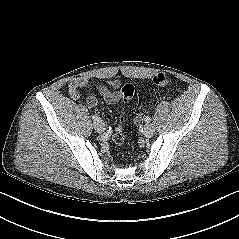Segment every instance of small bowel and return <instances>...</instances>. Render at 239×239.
<instances>
[{"label": "small bowel", "instance_id": "obj_1", "mask_svg": "<svg viewBox=\"0 0 239 239\" xmlns=\"http://www.w3.org/2000/svg\"><path fill=\"white\" fill-rule=\"evenodd\" d=\"M93 87L108 104H118L121 99V95L117 89L120 87V82L117 80H111L107 83H99L92 85L87 77H77L69 82V93L72 98L77 99L80 96V89ZM87 104L91 108H95L98 104V99L94 95H90L86 100Z\"/></svg>", "mask_w": 239, "mask_h": 239}]
</instances>
